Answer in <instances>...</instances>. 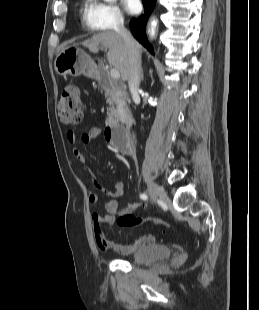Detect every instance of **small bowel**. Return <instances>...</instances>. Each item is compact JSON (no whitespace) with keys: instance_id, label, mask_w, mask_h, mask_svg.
Masks as SVG:
<instances>
[{"instance_id":"small-bowel-1","label":"small bowel","mask_w":259,"mask_h":310,"mask_svg":"<svg viewBox=\"0 0 259 310\" xmlns=\"http://www.w3.org/2000/svg\"><path fill=\"white\" fill-rule=\"evenodd\" d=\"M101 134V128L99 126H93L89 131L82 133L79 136V141L82 145H90L95 139H97ZM67 140L73 145L72 154L75 158H77L82 164L88 165L87 158L82 153L81 149L75 144L76 135L72 131L67 132ZM88 171L91 175L92 182L95 187L101 189L105 192L107 196L110 197L105 202V214H101L98 212L92 213V229L94 233V237L98 247L104 251H112L117 252L122 255H130L136 252L139 248L144 245L152 244L155 241V236L153 235H145L142 236L130 243L121 245L117 244L106 238L103 226L106 224H111L113 221V216L117 212V202L114 198L121 196L125 191V184L122 181L116 182L111 187H106L93 173L92 169L88 167ZM99 200V197L96 193H90L88 195V201L90 204H95ZM143 205L141 203H131L127 206L126 211L131 212L138 208H141Z\"/></svg>"}]
</instances>
